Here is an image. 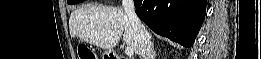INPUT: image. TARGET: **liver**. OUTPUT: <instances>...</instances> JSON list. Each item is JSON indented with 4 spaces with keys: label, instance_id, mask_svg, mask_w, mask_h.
Returning a JSON list of instances; mask_svg holds the SVG:
<instances>
[{
    "label": "liver",
    "instance_id": "liver-1",
    "mask_svg": "<svg viewBox=\"0 0 261 59\" xmlns=\"http://www.w3.org/2000/svg\"><path fill=\"white\" fill-rule=\"evenodd\" d=\"M69 30L72 37L107 50L113 49L124 33V42L139 52L136 33L119 7L86 5L78 8L70 15Z\"/></svg>",
    "mask_w": 261,
    "mask_h": 59
}]
</instances>
